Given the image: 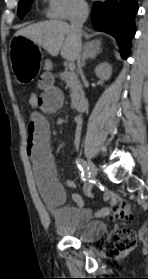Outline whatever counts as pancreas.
<instances>
[{"label":"pancreas","mask_w":148,"mask_h":279,"mask_svg":"<svg viewBox=\"0 0 148 279\" xmlns=\"http://www.w3.org/2000/svg\"><path fill=\"white\" fill-rule=\"evenodd\" d=\"M60 78L67 84V86L70 88V97L72 100V103H76L82 96V86L80 84V81L73 71H64L60 73Z\"/></svg>","instance_id":"pancreas-1"}]
</instances>
